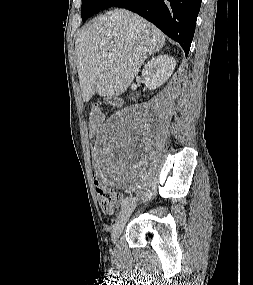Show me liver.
Instances as JSON below:
<instances>
[{"label": "liver", "instance_id": "liver-1", "mask_svg": "<svg viewBox=\"0 0 253 285\" xmlns=\"http://www.w3.org/2000/svg\"><path fill=\"white\" fill-rule=\"evenodd\" d=\"M164 45V33L137 14L115 9L98 16L76 43L83 101L92 98L95 83L100 96L124 93L145 59Z\"/></svg>", "mask_w": 253, "mask_h": 285}]
</instances>
